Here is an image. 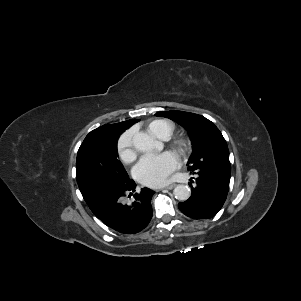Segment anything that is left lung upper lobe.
Segmentation results:
<instances>
[{"mask_svg": "<svg viewBox=\"0 0 301 301\" xmlns=\"http://www.w3.org/2000/svg\"><path fill=\"white\" fill-rule=\"evenodd\" d=\"M156 116L172 119L183 126L192 142L189 171L215 170L230 174L229 151L219 129L207 118L183 111H162Z\"/></svg>", "mask_w": 301, "mask_h": 301, "instance_id": "left-lung-upper-lobe-1", "label": "left lung upper lobe"}]
</instances>
